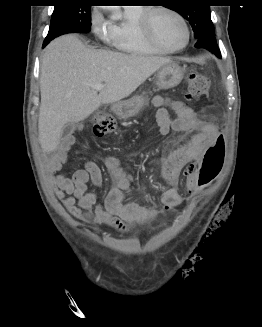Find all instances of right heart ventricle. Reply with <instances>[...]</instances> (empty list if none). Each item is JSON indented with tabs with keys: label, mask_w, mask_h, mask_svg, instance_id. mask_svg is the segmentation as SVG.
<instances>
[{
	"label": "right heart ventricle",
	"mask_w": 262,
	"mask_h": 327,
	"mask_svg": "<svg viewBox=\"0 0 262 327\" xmlns=\"http://www.w3.org/2000/svg\"><path fill=\"white\" fill-rule=\"evenodd\" d=\"M144 8L125 7L120 16L110 24L111 42L123 52L137 55H159L165 52L152 46L142 34L138 20Z\"/></svg>",
	"instance_id": "right-heart-ventricle-1"
}]
</instances>
